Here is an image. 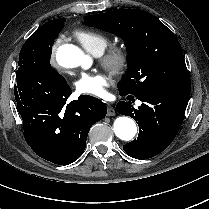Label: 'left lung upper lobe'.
<instances>
[{"mask_svg":"<svg viewBox=\"0 0 209 209\" xmlns=\"http://www.w3.org/2000/svg\"><path fill=\"white\" fill-rule=\"evenodd\" d=\"M84 24L124 40L128 69L118 84L121 95L137 96L155 87L190 91V77L181 45L152 14L138 9H121L85 16Z\"/></svg>","mask_w":209,"mask_h":209,"instance_id":"1","label":"left lung upper lobe"}]
</instances>
